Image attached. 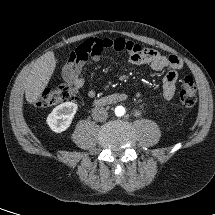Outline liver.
<instances>
[{
  "label": "liver",
  "mask_w": 215,
  "mask_h": 215,
  "mask_svg": "<svg viewBox=\"0 0 215 215\" xmlns=\"http://www.w3.org/2000/svg\"><path fill=\"white\" fill-rule=\"evenodd\" d=\"M56 59L52 51L43 54L32 66L25 81V98L33 104L42 95L55 70Z\"/></svg>",
  "instance_id": "6515ba94"
}]
</instances>
